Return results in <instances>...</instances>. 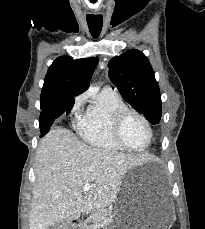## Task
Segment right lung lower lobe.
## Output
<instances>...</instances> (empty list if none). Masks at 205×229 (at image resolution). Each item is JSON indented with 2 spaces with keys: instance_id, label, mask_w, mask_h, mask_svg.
Masks as SVG:
<instances>
[{
  "instance_id": "obj_1",
  "label": "right lung lower lobe",
  "mask_w": 205,
  "mask_h": 229,
  "mask_svg": "<svg viewBox=\"0 0 205 229\" xmlns=\"http://www.w3.org/2000/svg\"><path fill=\"white\" fill-rule=\"evenodd\" d=\"M74 103V98H67L59 100L44 109L40 114V137H43L46 133L49 132L50 127L56 118H58L64 112H66V114H69Z\"/></svg>"
}]
</instances>
